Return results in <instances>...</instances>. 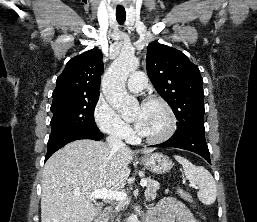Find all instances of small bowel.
Wrapping results in <instances>:
<instances>
[{
    "instance_id": "obj_1",
    "label": "small bowel",
    "mask_w": 257,
    "mask_h": 222,
    "mask_svg": "<svg viewBox=\"0 0 257 222\" xmlns=\"http://www.w3.org/2000/svg\"><path fill=\"white\" fill-rule=\"evenodd\" d=\"M149 222H200L188 207L173 198L163 199L150 214Z\"/></svg>"
}]
</instances>
